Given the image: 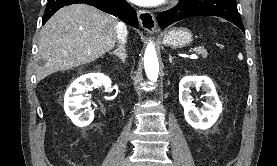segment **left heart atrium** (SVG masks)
Segmentation results:
<instances>
[{
	"instance_id": "1",
	"label": "left heart atrium",
	"mask_w": 277,
	"mask_h": 166,
	"mask_svg": "<svg viewBox=\"0 0 277 166\" xmlns=\"http://www.w3.org/2000/svg\"><path fill=\"white\" fill-rule=\"evenodd\" d=\"M130 1L141 6H156L163 3L165 0H130Z\"/></svg>"
}]
</instances>
